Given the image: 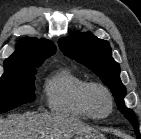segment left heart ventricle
<instances>
[{"instance_id":"b2bd125f","label":"left heart ventricle","mask_w":141,"mask_h":139,"mask_svg":"<svg viewBox=\"0 0 141 139\" xmlns=\"http://www.w3.org/2000/svg\"><path fill=\"white\" fill-rule=\"evenodd\" d=\"M92 103L95 111L99 114H104L108 110L107 97L100 91L93 92Z\"/></svg>"}]
</instances>
